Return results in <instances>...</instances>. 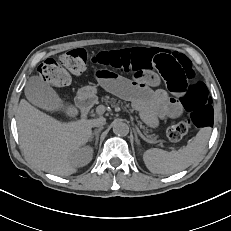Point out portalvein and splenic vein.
I'll return each mask as SVG.
<instances>
[{
  "label": "portal vein and splenic vein",
  "mask_w": 231,
  "mask_h": 231,
  "mask_svg": "<svg viewBox=\"0 0 231 231\" xmlns=\"http://www.w3.org/2000/svg\"><path fill=\"white\" fill-rule=\"evenodd\" d=\"M105 110H106V108H105L104 105H99V106L96 108V113H97L98 115H102V114L105 112ZM140 134H141V136H143V134H142L141 132H140ZM143 138L146 139L147 141L151 142V143H156V141L149 140V139L145 138L144 136H143Z\"/></svg>",
  "instance_id": "obj_1"
}]
</instances>
